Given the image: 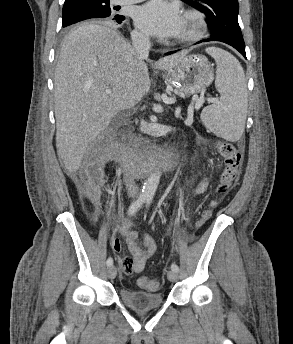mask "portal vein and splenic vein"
<instances>
[{"mask_svg":"<svg viewBox=\"0 0 293 344\" xmlns=\"http://www.w3.org/2000/svg\"><path fill=\"white\" fill-rule=\"evenodd\" d=\"M107 94L111 93V89H106L105 91ZM195 102V108L196 109H200V107L202 106V104L205 101V98L203 96L198 97V96H194L192 99ZM212 99H209V101H211Z\"/></svg>","mask_w":293,"mask_h":344,"instance_id":"1","label":"portal vein and splenic vein"}]
</instances>
